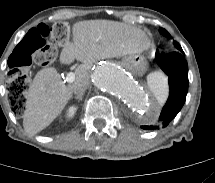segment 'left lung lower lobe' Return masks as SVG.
<instances>
[{"instance_id": "left-lung-lower-lobe-1", "label": "left lung lower lobe", "mask_w": 215, "mask_h": 183, "mask_svg": "<svg viewBox=\"0 0 215 183\" xmlns=\"http://www.w3.org/2000/svg\"><path fill=\"white\" fill-rule=\"evenodd\" d=\"M156 62L168 76L170 94L165 103L157 126H142L145 130L166 127L183 107L188 92V65L183 51L165 55L156 54Z\"/></svg>"}]
</instances>
